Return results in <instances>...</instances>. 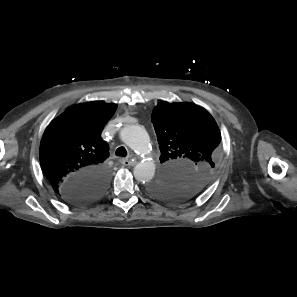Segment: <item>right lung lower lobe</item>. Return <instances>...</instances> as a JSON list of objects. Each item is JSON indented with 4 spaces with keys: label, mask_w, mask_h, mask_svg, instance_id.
<instances>
[{
    "label": "right lung lower lobe",
    "mask_w": 297,
    "mask_h": 297,
    "mask_svg": "<svg viewBox=\"0 0 297 297\" xmlns=\"http://www.w3.org/2000/svg\"><path fill=\"white\" fill-rule=\"evenodd\" d=\"M109 183L107 169L83 171L74 175L61 189L60 196L67 202L83 205L98 199Z\"/></svg>",
    "instance_id": "obj_1"
}]
</instances>
